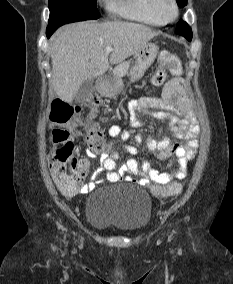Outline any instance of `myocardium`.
<instances>
[{"mask_svg":"<svg viewBox=\"0 0 233 284\" xmlns=\"http://www.w3.org/2000/svg\"><path fill=\"white\" fill-rule=\"evenodd\" d=\"M166 5L171 8L170 14H166L164 11ZM154 10L164 23L174 21L179 15V6L176 0H155Z\"/></svg>","mask_w":233,"mask_h":284,"instance_id":"f54148a6","label":"myocardium"}]
</instances>
